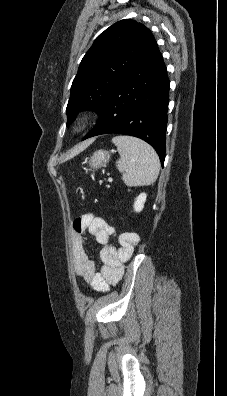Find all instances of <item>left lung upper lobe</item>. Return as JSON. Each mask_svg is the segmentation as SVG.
Listing matches in <instances>:
<instances>
[{
    "instance_id": "obj_1",
    "label": "left lung upper lobe",
    "mask_w": 227,
    "mask_h": 396,
    "mask_svg": "<svg viewBox=\"0 0 227 396\" xmlns=\"http://www.w3.org/2000/svg\"><path fill=\"white\" fill-rule=\"evenodd\" d=\"M157 46L151 31L131 19L114 23L83 57L71 86L67 125L81 110L99 112L131 70Z\"/></svg>"
}]
</instances>
